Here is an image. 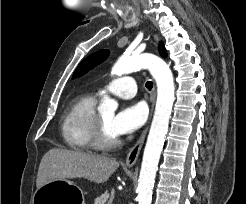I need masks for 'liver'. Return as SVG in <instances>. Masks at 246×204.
Instances as JSON below:
<instances>
[{
  "label": "liver",
  "instance_id": "1",
  "mask_svg": "<svg viewBox=\"0 0 246 204\" xmlns=\"http://www.w3.org/2000/svg\"><path fill=\"white\" fill-rule=\"evenodd\" d=\"M119 163L116 159L82 151L53 148L43 156L36 179L37 189L53 180L85 178L106 182Z\"/></svg>",
  "mask_w": 246,
  "mask_h": 204
}]
</instances>
